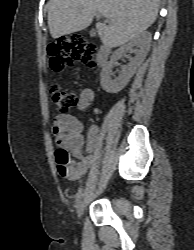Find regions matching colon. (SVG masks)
<instances>
[{
  "instance_id": "colon-1",
  "label": "colon",
  "mask_w": 194,
  "mask_h": 250,
  "mask_svg": "<svg viewBox=\"0 0 194 250\" xmlns=\"http://www.w3.org/2000/svg\"><path fill=\"white\" fill-rule=\"evenodd\" d=\"M47 51L49 66L54 73H59L64 68L71 67L77 62L84 63L90 67H94L96 64V46L93 43L87 42L78 34H72L68 37L59 39L50 44ZM50 92L56 109L59 112L64 113L70 109L80 107L79 98L74 91L59 86H53ZM55 156L59 166L65 169L69 166L71 161L66 150H56Z\"/></svg>"
}]
</instances>
